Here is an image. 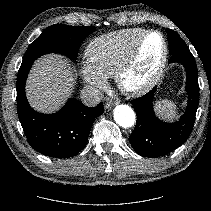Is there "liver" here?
Segmentation results:
<instances>
[{"label":"liver","mask_w":211,"mask_h":211,"mask_svg":"<svg viewBox=\"0 0 211 211\" xmlns=\"http://www.w3.org/2000/svg\"><path fill=\"white\" fill-rule=\"evenodd\" d=\"M75 77L70 64L59 55L49 54L36 60L26 83V95L37 111L53 113L72 94Z\"/></svg>","instance_id":"1"}]
</instances>
